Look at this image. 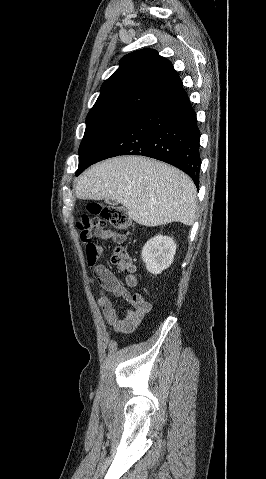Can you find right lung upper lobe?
Listing matches in <instances>:
<instances>
[{"mask_svg": "<svg viewBox=\"0 0 266 479\" xmlns=\"http://www.w3.org/2000/svg\"><path fill=\"white\" fill-rule=\"evenodd\" d=\"M182 81L171 62L154 49L129 53L101 87V94L88 116L115 110H142Z\"/></svg>", "mask_w": 266, "mask_h": 479, "instance_id": "right-lung-upper-lobe-1", "label": "right lung upper lobe"}]
</instances>
